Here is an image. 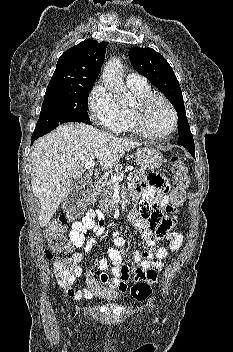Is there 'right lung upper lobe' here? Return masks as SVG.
Here are the masks:
<instances>
[{"label": "right lung upper lobe", "instance_id": "obj_1", "mask_svg": "<svg viewBox=\"0 0 233 352\" xmlns=\"http://www.w3.org/2000/svg\"><path fill=\"white\" fill-rule=\"evenodd\" d=\"M106 47V42L85 40L66 50L59 57L47 88L94 85L104 62Z\"/></svg>", "mask_w": 233, "mask_h": 352}]
</instances>
